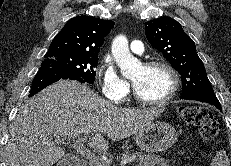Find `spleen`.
Segmentation results:
<instances>
[{"instance_id":"spleen-1","label":"spleen","mask_w":231,"mask_h":166,"mask_svg":"<svg viewBox=\"0 0 231 166\" xmlns=\"http://www.w3.org/2000/svg\"><path fill=\"white\" fill-rule=\"evenodd\" d=\"M211 166H230V160L224 151H219L212 159Z\"/></svg>"}]
</instances>
